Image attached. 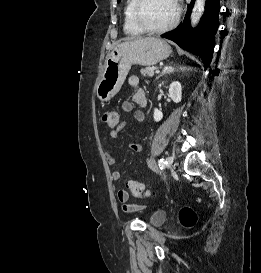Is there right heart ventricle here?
I'll list each match as a JSON object with an SVG mask.
<instances>
[{
	"label": "right heart ventricle",
	"mask_w": 261,
	"mask_h": 273,
	"mask_svg": "<svg viewBox=\"0 0 261 273\" xmlns=\"http://www.w3.org/2000/svg\"><path fill=\"white\" fill-rule=\"evenodd\" d=\"M135 0H127L124 9V31L128 35H140L142 31L132 21V8Z\"/></svg>",
	"instance_id": "obj_1"
}]
</instances>
